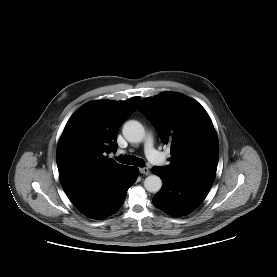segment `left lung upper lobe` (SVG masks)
<instances>
[{
	"label": "left lung upper lobe",
	"mask_w": 277,
	"mask_h": 277,
	"mask_svg": "<svg viewBox=\"0 0 277 277\" xmlns=\"http://www.w3.org/2000/svg\"><path fill=\"white\" fill-rule=\"evenodd\" d=\"M139 110L158 130L164 144H171L165 170L183 177L214 181L219 158L216 131L205 109L180 93L165 92L142 100Z\"/></svg>",
	"instance_id": "obj_1"
}]
</instances>
